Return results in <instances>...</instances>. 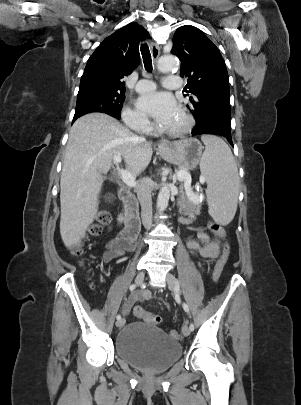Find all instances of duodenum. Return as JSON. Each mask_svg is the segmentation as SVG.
<instances>
[{
	"label": "duodenum",
	"mask_w": 301,
	"mask_h": 405,
	"mask_svg": "<svg viewBox=\"0 0 301 405\" xmlns=\"http://www.w3.org/2000/svg\"><path fill=\"white\" fill-rule=\"evenodd\" d=\"M113 195L112 193L110 194ZM119 196L125 207V226L120 233V240L122 246L128 250H134L136 246V237L139 230V220L136 214L137 202L133 192L127 188L122 187L119 190ZM110 208H117L119 201L117 199H110L108 201Z\"/></svg>",
	"instance_id": "410a0bca"
}]
</instances>
